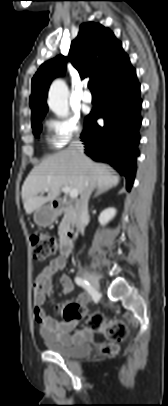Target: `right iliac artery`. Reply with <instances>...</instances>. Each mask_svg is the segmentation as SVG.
Returning <instances> with one entry per match:
<instances>
[{
	"instance_id": "82829eb1",
	"label": "right iliac artery",
	"mask_w": 168,
	"mask_h": 406,
	"mask_svg": "<svg viewBox=\"0 0 168 406\" xmlns=\"http://www.w3.org/2000/svg\"><path fill=\"white\" fill-rule=\"evenodd\" d=\"M75 282L78 286L83 287L95 299L96 292L88 281L82 279L81 277H76Z\"/></svg>"
}]
</instances>
